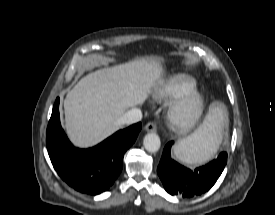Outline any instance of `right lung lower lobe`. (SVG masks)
Here are the masks:
<instances>
[{
  "label": "right lung lower lobe",
  "mask_w": 275,
  "mask_h": 215,
  "mask_svg": "<svg viewBox=\"0 0 275 215\" xmlns=\"http://www.w3.org/2000/svg\"><path fill=\"white\" fill-rule=\"evenodd\" d=\"M141 123L119 130L89 149L75 148L60 125L56 99L46 132V145L54 169L75 190L97 195L109 189L119 176L126 150L135 142Z\"/></svg>",
  "instance_id": "right-lung-lower-lobe-1"
}]
</instances>
